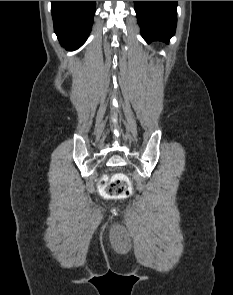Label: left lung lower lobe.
<instances>
[{
	"label": "left lung lower lobe",
	"instance_id": "0a47b994",
	"mask_svg": "<svg viewBox=\"0 0 233 295\" xmlns=\"http://www.w3.org/2000/svg\"><path fill=\"white\" fill-rule=\"evenodd\" d=\"M142 37L147 43H169L177 23V1H134Z\"/></svg>",
	"mask_w": 233,
	"mask_h": 295
}]
</instances>
